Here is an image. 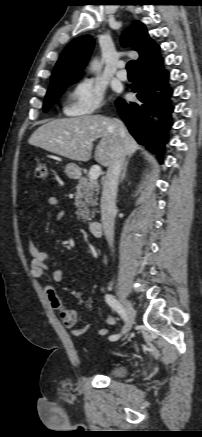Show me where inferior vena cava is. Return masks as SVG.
<instances>
[{"label": "inferior vena cava", "mask_w": 202, "mask_h": 437, "mask_svg": "<svg viewBox=\"0 0 202 437\" xmlns=\"http://www.w3.org/2000/svg\"><path fill=\"white\" fill-rule=\"evenodd\" d=\"M125 162L124 150L117 147L113 162L107 169L101 196V221L104 235L112 247L114 242V218L116 214V196L119 177Z\"/></svg>", "instance_id": "inferior-vena-cava-1"}]
</instances>
